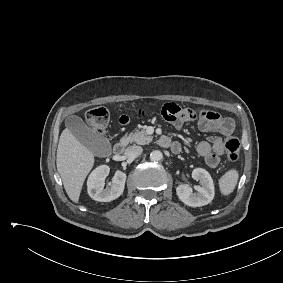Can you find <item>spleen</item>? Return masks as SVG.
Returning <instances> with one entry per match:
<instances>
[{
    "label": "spleen",
    "mask_w": 283,
    "mask_h": 283,
    "mask_svg": "<svg viewBox=\"0 0 283 283\" xmlns=\"http://www.w3.org/2000/svg\"><path fill=\"white\" fill-rule=\"evenodd\" d=\"M238 172L234 169L226 172L219 180L220 191L223 195H229L235 189L238 181Z\"/></svg>",
    "instance_id": "3e777b00"
}]
</instances>
